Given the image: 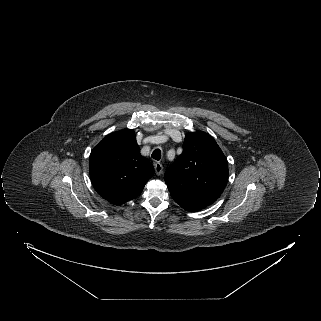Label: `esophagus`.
Wrapping results in <instances>:
<instances>
[{
	"instance_id": "34e87169",
	"label": "esophagus",
	"mask_w": 321,
	"mask_h": 321,
	"mask_svg": "<svg viewBox=\"0 0 321 321\" xmlns=\"http://www.w3.org/2000/svg\"><path fill=\"white\" fill-rule=\"evenodd\" d=\"M154 169H155V173H156L157 175H161L162 172H163V166H162V164L159 163V162H157V163L154 164Z\"/></svg>"
}]
</instances>
